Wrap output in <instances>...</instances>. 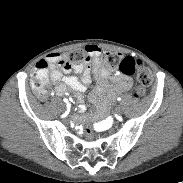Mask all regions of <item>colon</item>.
Instances as JSON below:
<instances>
[{
    "instance_id": "5ec220e1",
    "label": "colon",
    "mask_w": 183,
    "mask_h": 183,
    "mask_svg": "<svg viewBox=\"0 0 183 183\" xmlns=\"http://www.w3.org/2000/svg\"><path fill=\"white\" fill-rule=\"evenodd\" d=\"M90 60L89 53L86 49H75L65 55H62L59 64L64 69H69L73 66L88 65ZM104 65L111 70H118L120 73L131 76L136 75L138 85L134 91L135 98L143 97L147 92V87L152 82L151 70L141 61L132 57H124L117 52H105L102 55ZM49 63L47 60L39 61L32 72V88L39 95L44 96L47 92V72ZM82 133L87 144L92 145L96 141V134L92 126L85 125L82 128Z\"/></svg>"
}]
</instances>
